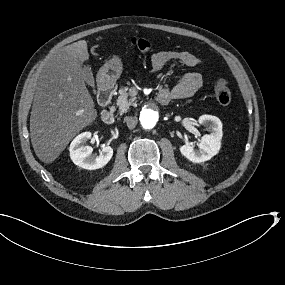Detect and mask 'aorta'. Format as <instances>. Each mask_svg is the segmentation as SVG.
Masks as SVG:
<instances>
[{
	"label": "aorta",
	"instance_id": "aorta-1",
	"mask_svg": "<svg viewBox=\"0 0 285 285\" xmlns=\"http://www.w3.org/2000/svg\"><path fill=\"white\" fill-rule=\"evenodd\" d=\"M139 122L141 127L150 133L160 131L166 122L163 106L157 101H146L139 108Z\"/></svg>",
	"mask_w": 285,
	"mask_h": 285
}]
</instances>
